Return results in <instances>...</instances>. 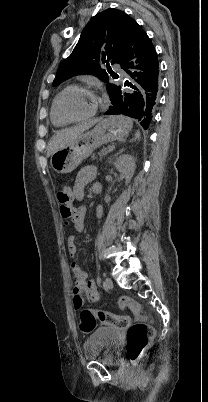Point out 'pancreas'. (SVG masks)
Here are the masks:
<instances>
[{
  "label": "pancreas",
  "mask_w": 208,
  "mask_h": 402,
  "mask_svg": "<svg viewBox=\"0 0 208 402\" xmlns=\"http://www.w3.org/2000/svg\"><path fill=\"white\" fill-rule=\"evenodd\" d=\"M109 148H110V146H108V148H103V150H101V152H98V156H100V158H102V156H106ZM92 158H94V160H95L94 154H93Z\"/></svg>",
  "instance_id": "1"
}]
</instances>
